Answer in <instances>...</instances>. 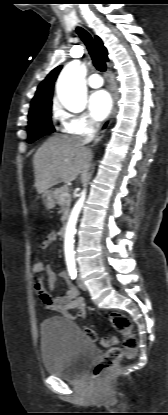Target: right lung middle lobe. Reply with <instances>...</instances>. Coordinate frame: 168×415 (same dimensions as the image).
<instances>
[{
    "mask_svg": "<svg viewBox=\"0 0 168 415\" xmlns=\"http://www.w3.org/2000/svg\"><path fill=\"white\" fill-rule=\"evenodd\" d=\"M51 123V104L42 106L29 112L28 142L32 143L38 138L54 132Z\"/></svg>",
    "mask_w": 168,
    "mask_h": 415,
    "instance_id": "obj_1",
    "label": "right lung middle lobe"
}]
</instances>
